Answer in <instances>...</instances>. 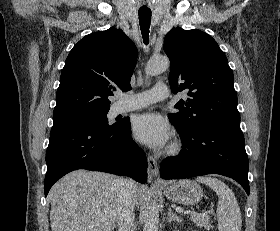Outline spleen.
<instances>
[{"label": "spleen", "mask_w": 280, "mask_h": 231, "mask_svg": "<svg viewBox=\"0 0 280 231\" xmlns=\"http://www.w3.org/2000/svg\"><path fill=\"white\" fill-rule=\"evenodd\" d=\"M196 179L212 187L219 197L216 209L219 231H241L240 207L230 187L217 177H196Z\"/></svg>", "instance_id": "obj_1"}]
</instances>
